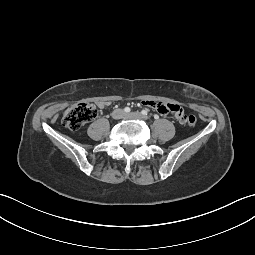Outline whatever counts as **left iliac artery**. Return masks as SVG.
I'll use <instances>...</instances> for the list:
<instances>
[{"label":"left iliac artery","instance_id":"1","mask_svg":"<svg viewBox=\"0 0 255 255\" xmlns=\"http://www.w3.org/2000/svg\"><path fill=\"white\" fill-rule=\"evenodd\" d=\"M142 115H147L148 114V110L144 109L141 111Z\"/></svg>","mask_w":255,"mask_h":255}]
</instances>
